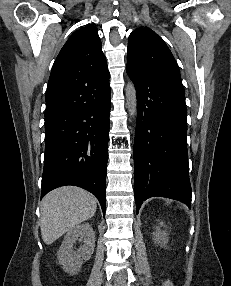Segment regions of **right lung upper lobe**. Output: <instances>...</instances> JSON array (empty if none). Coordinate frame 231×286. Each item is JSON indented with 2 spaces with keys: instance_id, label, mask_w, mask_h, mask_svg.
<instances>
[{
  "instance_id": "cb5924a9",
  "label": "right lung upper lobe",
  "mask_w": 231,
  "mask_h": 286,
  "mask_svg": "<svg viewBox=\"0 0 231 286\" xmlns=\"http://www.w3.org/2000/svg\"><path fill=\"white\" fill-rule=\"evenodd\" d=\"M109 73L96 27L73 33L61 49L51 71L46 92L47 105L69 96L76 85Z\"/></svg>"
}]
</instances>
